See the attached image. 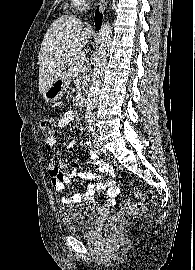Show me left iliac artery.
<instances>
[{
	"mask_svg": "<svg viewBox=\"0 0 195 270\" xmlns=\"http://www.w3.org/2000/svg\"><path fill=\"white\" fill-rule=\"evenodd\" d=\"M89 129L92 132V134L94 135L95 134V128H94V126L93 125H90L89 126Z\"/></svg>",
	"mask_w": 195,
	"mask_h": 270,
	"instance_id": "obj_1",
	"label": "left iliac artery"
}]
</instances>
